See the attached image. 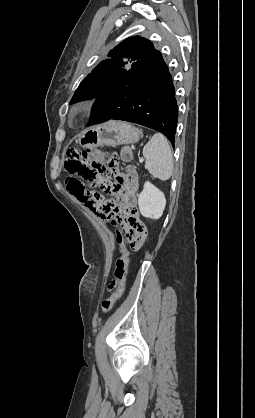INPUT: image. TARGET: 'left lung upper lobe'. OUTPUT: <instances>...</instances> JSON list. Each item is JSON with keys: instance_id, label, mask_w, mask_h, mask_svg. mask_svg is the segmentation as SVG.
Listing matches in <instances>:
<instances>
[{"instance_id": "obj_1", "label": "left lung upper lobe", "mask_w": 255, "mask_h": 418, "mask_svg": "<svg viewBox=\"0 0 255 418\" xmlns=\"http://www.w3.org/2000/svg\"><path fill=\"white\" fill-rule=\"evenodd\" d=\"M156 51L153 44L145 38L139 36L127 38L110 50L111 58L100 62L80 83L70 104L98 98L115 85L129 69L143 62Z\"/></svg>"}]
</instances>
